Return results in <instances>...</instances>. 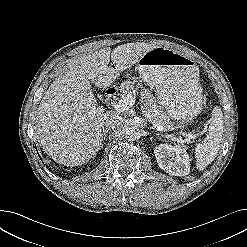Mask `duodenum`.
<instances>
[{
  "instance_id": "1",
  "label": "duodenum",
  "mask_w": 247,
  "mask_h": 247,
  "mask_svg": "<svg viewBox=\"0 0 247 247\" xmlns=\"http://www.w3.org/2000/svg\"><path fill=\"white\" fill-rule=\"evenodd\" d=\"M117 91L116 87H110L106 90V97H111Z\"/></svg>"
}]
</instances>
